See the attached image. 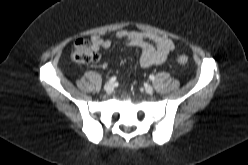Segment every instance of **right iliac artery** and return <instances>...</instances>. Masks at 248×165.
I'll return each mask as SVG.
<instances>
[{
    "label": "right iliac artery",
    "instance_id": "right-iliac-artery-1",
    "mask_svg": "<svg viewBox=\"0 0 248 165\" xmlns=\"http://www.w3.org/2000/svg\"><path fill=\"white\" fill-rule=\"evenodd\" d=\"M115 81H116V77L115 76L111 77L110 80H109L110 83L115 82Z\"/></svg>",
    "mask_w": 248,
    "mask_h": 165
}]
</instances>
